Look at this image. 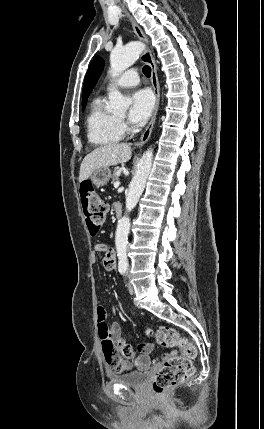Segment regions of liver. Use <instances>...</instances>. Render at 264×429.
Masks as SVG:
<instances>
[{"instance_id":"obj_1","label":"liver","mask_w":264,"mask_h":429,"mask_svg":"<svg viewBox=\"0 0 264 429\" xmlns=\"http://www.w3.org/2000/svg\"><path fill=\"white\" fill-rule=\"evenodd\" d=\"M131 155V146L126 143L108 144L96 148L83 159L79 182L88 179L99 168L129 161Z\"/></svg>"}]
</instances>
